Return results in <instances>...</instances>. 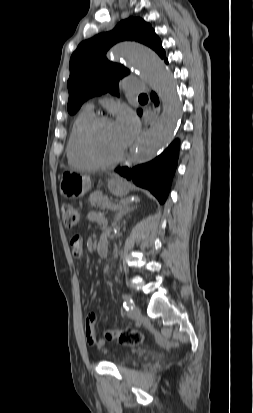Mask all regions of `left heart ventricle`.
<instances>
[{
	"label": "left heart ventricle",
	"mask_w": 253,
	"mask_h": 413,
	"mask_svg": "<svg viewBox=\"0 0 253 413\" xmlns=\"http://www.w3.org/2000/svg\"><path fill=\"white\" fill-rule=\"evenodd\" d=\"M94 145L97 152L105 158L115 157L124 148L112 122L98 127L94 135Z\"/></svg>",
	"instance_id": "left-heart-ventricle-1"
}]
</instances>
